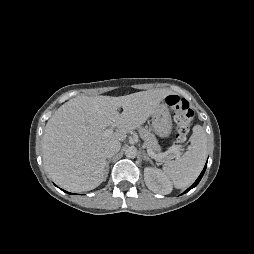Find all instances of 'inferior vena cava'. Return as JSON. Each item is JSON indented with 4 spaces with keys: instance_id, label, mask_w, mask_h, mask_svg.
Returning a JSON list of instances; mask_svg holds the SVG:
<instances>
[{
    "instance_id": "inferior-vena-cava-1",
    "label": "inferior vena cava",
    "mask_w": 254,
    "mask_h": 254,
    "mask_svg": "<svg viewBox=\"0 0 254 254\" xmlns=\"http://www.w3.org/2000/svg\"><path fill=\"white\" fill-rule=\"evenodd\" d=\"M120 147H121L120 142H118V141H111L105 147V151H104L105 156L107 158H111L112 156H114L116 153L119 152Z\"/></svg>"
}]
</instances>
